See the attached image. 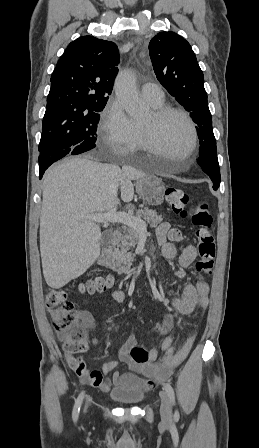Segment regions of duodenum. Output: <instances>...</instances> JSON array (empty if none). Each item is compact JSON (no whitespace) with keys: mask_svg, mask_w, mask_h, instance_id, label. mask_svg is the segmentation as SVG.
Masks as SVG:
<instances>
[{"mask_svg":"<svg viewBox=\"0 0 259 448\" xmlns=\"http://www.w3.org/2000/svg\"><path fill=\"white\" fill-rule=\"evenodd\" d=\"M120 238H121V232L119 230H115L111 233L108 245L103 248L98 257V263L101 266L106 267L118 274H123L124 268L115 259L113 252L114 247L118 244Z\"/></svg>","mask_w":259,"mask_h":448,"instance_id":"1","label":"duodenum"}]
</instances>
